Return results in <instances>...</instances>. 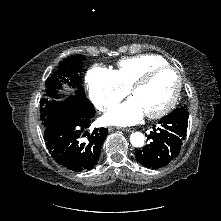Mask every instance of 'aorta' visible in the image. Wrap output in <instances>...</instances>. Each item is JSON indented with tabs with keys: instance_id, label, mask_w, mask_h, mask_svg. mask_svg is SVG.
<instances>
[{
	"instance_id": "762f6f07",
	"label": "aorta",
	"mask_w": 221,
	"mask_h": 221,
	"mask_svg": "<svg viewBox=\"0 0 221 221\" xmlns=\"http://www.w3.org/2000/svg\"><path fill=\"white\" fill-rule=\"evenodd\" d=\"M145 136L141 132H134L130 136V142L134 147H142L144 145Z\"/></svg>"
}]
</instances>
